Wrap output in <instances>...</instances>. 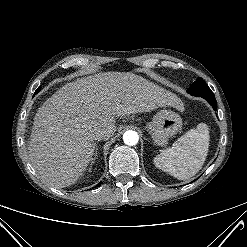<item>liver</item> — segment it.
<instances>
[{"mask_svg": "<svg viewBox=\"0 0 247 247\" xmlns=\"http://www.w3.org/2000/svg\"><path fill=\"white\" fill-rule=\"evenodd\" d=\"M182 107L172 92L132 73L105 72L64 85L37 111L28 147L33 168L50 186L69 187L83 175L96 144L90 134L116 131V118L158 107Z\"/></svg>", "mask_w": 247, "mask_h": 247, "instance_id": "6515ba94", "label": "liver"}]
</instances>
